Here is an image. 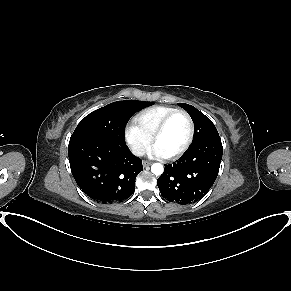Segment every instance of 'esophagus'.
Listing matches in <instances>:
<instances>
[{"label": "esophagus", "mask_w": 291, "mask_h": 291, "mask_svg": "<svg viewBox=\"0 0 291 291\" xmlns=\"http://www.w3.org/2000/svg\"><path fill=\"white\" fill-rule=\"evenodd\" d=\"M149 165H151V162L150 161H146V160L143 161V166L144 167H147Z\"/></svg>", "instance_id": "34e87169"}]
</instances>
